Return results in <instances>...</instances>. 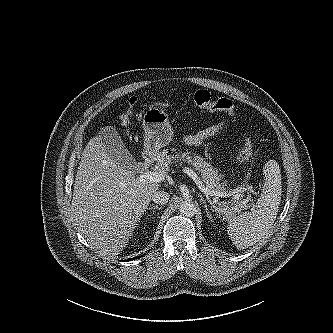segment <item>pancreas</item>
I'll return each mask as SVG.
<instances>
[{
  "instance_id": "cf45deb5",
  "label": "pancreas",
  "mask_w": 333,
  "mask_h": 333,
  "mask_svg": "<svg viewBox=\"0 0 333 333\" xmlns=\"http://www.w3.org/2000/svg\"><path fill=\"white\" fill-rule=\"evenodd\" d=\"M174 154H169L167 149H164L162 152L157 153L156 161L157 167L161 170L167 172L169 166L176 161H187L191 164L196 171L201 175L202 180L204 181L206 187L211 190L221 192L224 195L226 191L225 184L220 183L222 175L219 174L218 170L214 168L210 163L206 162L204 158L200 155L191 154L190 152H177V149H171ZM240 200H234V202L239 203ZM222 209L226 215H230L232 209L226 202L222 203Z\"/></svg>"
}]
</instances>
